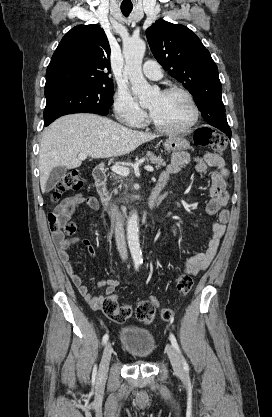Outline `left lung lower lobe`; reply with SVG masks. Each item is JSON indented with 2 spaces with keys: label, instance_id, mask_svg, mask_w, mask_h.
Listing matches in <instances>:
<instances>
[{
  "label": "left lung lower lobe",
  "instance_id": "0a47b994",
  "mask_svg": "<svg viewBox=\"0 0 272 417\" xmlns=\"http://www.w3.org/2000/svg\"><path fill=\"white\" fill-rule=\"evenodd\" d=\"M227 136L231 137V132L230 131H223Z\"/></svg>",
  "mask_w": 272,
  "mask_h": 417
}]
</instances>
